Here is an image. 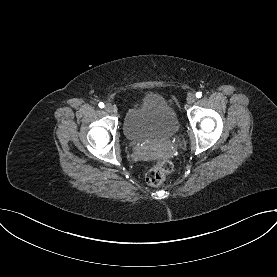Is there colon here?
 Segmentation results:
<instances>
[{
	"label": "colon",
	"instance_id": "obj_1",
	"mask_svg": "<svg viewBox=\"0 0 277 277\" xmlns=\"http://www.w3.org/2000/svg\"><path fill=\"white\" fill-rule=\"evenodd\" d=\"M173 165L169 160L157 162L146 174V182L151 186L162 184L172 171Z\"/></svg>",
	"mask_w": 277,
	"mask_h": 277
}]
</instances>
